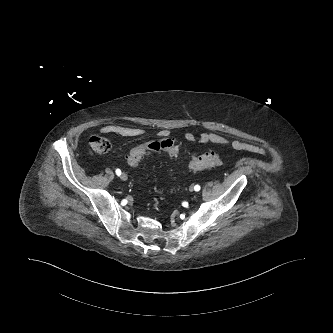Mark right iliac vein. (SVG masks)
I'll return each mask as SVG.
<instances>
[{
	"instance_id": "obj_1",
	"label": "right iliac vein",
	"mask_w": 333,
	"mask_h": 333,
	"mask_svg": "<svg viewBox=\"0 0 333 333\" xmlns=\"http://www.w3.org/2000/svg\"><path fill=\"white\" fill-rule=\"evenodd\" d=\"M120 178H121V180L126 181V180L128 179V176H127V174L122 173V174L120 175Z\"/></svg>"
}]
</instances>
